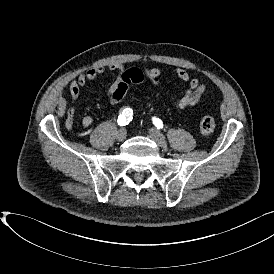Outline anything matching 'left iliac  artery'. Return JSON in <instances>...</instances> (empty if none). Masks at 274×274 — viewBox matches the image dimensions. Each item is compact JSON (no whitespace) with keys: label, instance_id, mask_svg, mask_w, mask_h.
Instances as JSON below:
<instances>
[{"label":"left iliac artery","instance_id":"44dca946","mask_svg":"<svg viewBox=\"0 0 274 274\" xmlns=\"http://www.w3.org/2000/svg\"><path fill=\"white\" fill-rule=\"evenodd\" d=\"M153 124L158 128V129H162L163 128V123L162 121L157 118V117H153L152 118Z\"/></svg>","mask_w":274,"mask_h":274}]
</instances>
